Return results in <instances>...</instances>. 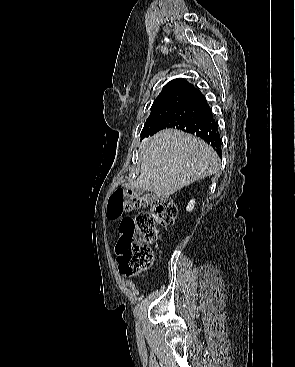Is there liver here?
Returning a JSON list of instances; mask_svg holds the SVG:
<instances>
[{
  "instance_id": "obj_1",
  "label": "liver",
  "mask_w": 295,
  "mask_h": 367,
  "mask_svg": "<svg viewBox=\"0 0 295 367\" xmlns=\"http://www.w3.org/2000/svg\"><path fill=\"white\" fill-rule=\"evenodd\" d=\"M140 175L128 186L169 196L219 170V157L204 141L176 129L163 130L139 145Z\"/></svg>"
}]
</instances>
